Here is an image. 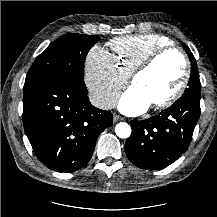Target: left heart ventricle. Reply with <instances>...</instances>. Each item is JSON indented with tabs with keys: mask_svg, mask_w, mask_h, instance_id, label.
<instances>
[{
	"mask_svg": "<svg viewBox=\"0 0 217 217\" xmlns=\"http://www.w3.org/2000/svg\"><path fill=\"white\" fill-rule=\"evenodd\" d=\"M183 71L181 57L176 53H169L141 74L133 86L153 104L170 96L177 89Z\"/></svg>",
	"mask_w": 217,
	"mask_h": 217,
	"instance_id": "1",
	"label": "left heart ventricle"
}]
</instances>
